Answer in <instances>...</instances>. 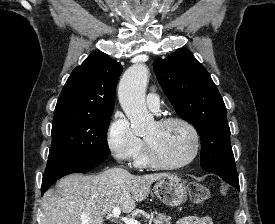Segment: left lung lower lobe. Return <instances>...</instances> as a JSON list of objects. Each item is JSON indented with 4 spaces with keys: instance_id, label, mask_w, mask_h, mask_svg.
<instances>
[{
    "instance_id": "obj_1",
    "label": "left lung lower lobe",
    "mask_w": 275,
    "mask_h": 224,
    "mask_svg": "<svg viewBox=\"0 0 275 224\" xmlns=\"http://www.w3.org/2000/svg\"><path fill=\"white\" fill-rule=\"evenodd\" d=\"M226 182L232 184L233 186H235L239 190V182H238V180H234L232 178H228L226 180Z\"/></svg>"
}]
</instances>
